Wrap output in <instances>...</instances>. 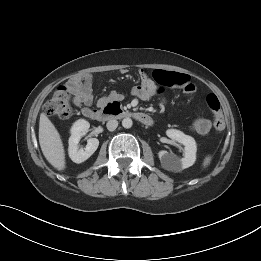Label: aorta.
<instances>
[{"label": "aorta", "mask_w": 261, "mask_h": 261, "mask_svg": "<svg viewBox=\"0 0 261 261\" xmlns=\"http://www.w3.org/2000/svg\"><path fill=\"white\" fill-rule=\"evenodd\" d=\"M133 125L132 119L131 118H124L122 120V126L126 129L131 128Z\"/></svg>", "instance_id": "762f6f07"}]
</instances>
